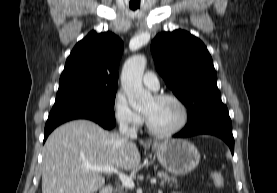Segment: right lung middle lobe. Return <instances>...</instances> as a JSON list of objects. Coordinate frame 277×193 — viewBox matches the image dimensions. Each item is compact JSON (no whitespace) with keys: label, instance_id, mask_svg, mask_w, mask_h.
<instances>
[{"label":"right lung middle lobe","instance_id":"1","mask_svg":"<svg viewBox=\"0 0 277 193\" xmlns=\"http://www.w3.org/2000/svg\"><path fill=\"white\" fill-rule=\"evenodd\" d=\"M116 89L104 86H83L58 91L54 106L86 108L115 119Z\"/></svg>","mask_w":277,"mask_h":193}]
</instances>
